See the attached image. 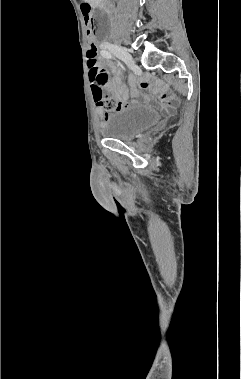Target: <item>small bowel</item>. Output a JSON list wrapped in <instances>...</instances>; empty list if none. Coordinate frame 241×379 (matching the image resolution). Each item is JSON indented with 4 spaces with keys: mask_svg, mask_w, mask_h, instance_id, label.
Wrapping results in <instances>:
<instances>
[{
    "mask_svg": "<svg viewBox=\"0 0 241 379\" xmlns=\"http://www.w3.org/2000/svg\"><path fill=\"white\" fill-rule=\"evenodd\" d=\"M104 70V69H103ZM105 71V70H104ZM107 78L105 82V86L108 87L109 92L112 94V96L119 102L120 108H126L128 106L127 104V98H128V90L127 88L122 84L121 77L116 69H113V79L112 81H109L108 74L105 71ZM93 82H91L92 84ZM138 87L142 89H149L152 91V93L155 95L156 99L159 100L163 107L166 109H173L176 106V100L168 93L166 87L162 85L158 81L153 80H147V79H141L138 81ZM92 88V86H91ZM93 92V88H92ZM139 91L137 86H134L132 88V95L138 96ZM100 115L102 119L107 118V113L101 112Z\"/></svg>",
    "mask_w": 241,
    "mask_h": 379,
    "instance_id": "small-bowel-1",
    "label": "small bowel"
}]
</instances>
